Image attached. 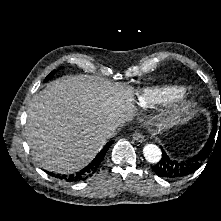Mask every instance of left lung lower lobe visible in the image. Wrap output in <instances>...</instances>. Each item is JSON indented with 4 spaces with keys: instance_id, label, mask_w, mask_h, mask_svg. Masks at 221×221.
Listing matches in <instances>:
<instances>
[{
    "instance_id": "obj_1",
    "label": "left lung lower lobe",
    "mask_w": 221,
    "mask_h": 221,
    "mask_svg": "<svg viewBox=\"0 0 221 221\" xmlns=\"http://www.w3.org/2000/svg\"><path fill=\"white\" fill-rule=\"evenodd\" d=\"M211 146L210 144H206L198 154L186 159H175L168 155L161 147L162 157L151 168L159 177L167 179L185 177L200 167L208 156Z\"/></svg>"
}]
</instances>
